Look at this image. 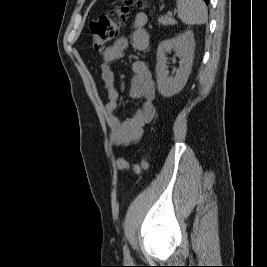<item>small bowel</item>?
<instances>
[{
    "label": "small bowel",
    "mask_w": 267,
    "mask_h": 267,
    "mask_svg": "<svg viewBox=\"0 0 267 267\" xmlns=\"http://www.w3.org/2000/svg\"><path fill=\"white\" fill-rule=\"evenodd\" d=\"M147 20V15L139 12L134 15L131 22V45L139 51H145L149 47V35L145 29ZM128 44V39L124 37L117 39L103 52L101 63V79L108 96V101L104 105V113L111 131L112 143L118 147H126L139 141L145 126L153 120L156 112L154 105L156 88L151 71L145 62L137 60L132 63L134 75L131 81L130 95L143 99L142 106L125 121H121L117 115L119 93L111 65L123 58Z\"/></svg>",
    "instance_id": "1"
}]
</instances>
